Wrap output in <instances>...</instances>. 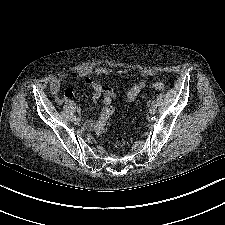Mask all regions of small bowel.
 <instances>
[{
    "instance_id": "1",
    "label": "small bowel",
    "mask_w": 225,
    "mask_h": 225,
    "mask_svg": "<svg viewBox=\"0 0 225 225\" xmlns=\"http://www.w3.org/2000/svg\"><path fill=\"white\" fill-rule=\"evenodd\" d=\"M113 70L107 67H97L93 70H83L81 71L78 76H77V80H84L85 82H87L93 89V100L94 101H99L101 99V97L104 96V102L106 100H109L110 102L116 98V94L115 92L109 88L108 86L102 85L98 82V78H100L101 76L104 75H110L113 74ZM128 71L123 69V70H118L117 72H115L116 75H125L127 74ZM94 76V79H90V75ZM138 74L141 77V79L135 83L127 92L126 94V102L127 103H131L133 102L138 95L140 94V92L144 89V87L146 86V79L150 78V77H155L156 76V72L149 70V69H140L138 70ZM65 81V75H59L57 77H55L51 84H50V91L52 93V95L56 96L58 101H61V97H59V92L61 90V86ZM74 97V91L70 88L66 89L63 93V98H73ZM94 125V121L93 120H89L85 123V127L87 129H91Z\"/></svg>"
}]
</instances>
